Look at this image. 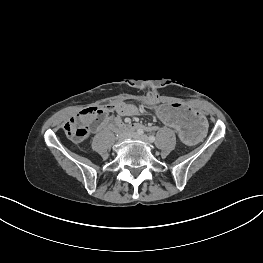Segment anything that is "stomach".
Returning a JSON list of instances; mask_svg holds the SVG:
<instances>
[{"label":"stomach","mask_w":263,"mask_h":263,"mask_svg":"<svg viewBox=\"0 0 263 263\" xmlns=\"http://www.w3.org/2000/svg\"><path fill=\"white\" fill-rule=\"evenodd\" d=\"M150 111L160 125L172 127L177 138L186 146L202 144L210 135L211 127L205 116L200 111L188 109L184 104H152Z\"/></svg>","instance_id":"1"}]
</instances>
